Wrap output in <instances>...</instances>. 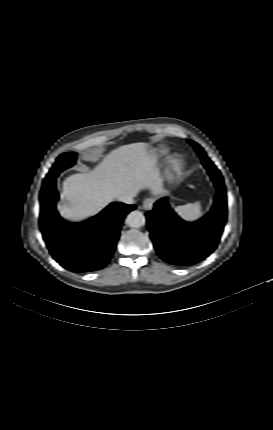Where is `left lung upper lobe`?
<instances>
[{
    "mask_svg": "<svg viewBox=\"0 0 273 430\" xmlns=\"http://www.w3.org/2000/svg\"><path fill=\"white\" fill-rule=\"evenodd\" d=\"M189 143H190V144L195 148V150H196V152H197L198 156H199L202 160H204V159L208 158V157H207V155H206V153H205V151L203 150V148H202L199 144H197L196 142L191 141V140H189Z\"/></svg>",
    "mask_w": 273,
    "mask_h": 430,
    "instance_id": "left-lung-upper-lobe-1",
    "label": "left lung upper lobe"
}]
</instances>
